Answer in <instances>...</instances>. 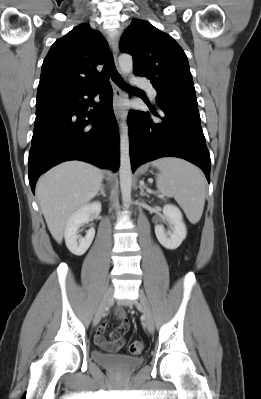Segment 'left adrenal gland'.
<instances>
[{"mask_svg":"<svg viewBox=\"0 0 261 399\" xmlns=\"http://www.w3.org/2000/svg\"><path fill=\"white\" fill-rule=\"evenodd\" d=\"M140 188V195L149 197V194L144 191V186L139 185Z\"/></svg>","mask_w":261,"mask_h":399,"instance_id":"obj_1","label":"left adrenal gland"}]
</instances>
